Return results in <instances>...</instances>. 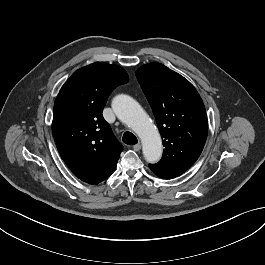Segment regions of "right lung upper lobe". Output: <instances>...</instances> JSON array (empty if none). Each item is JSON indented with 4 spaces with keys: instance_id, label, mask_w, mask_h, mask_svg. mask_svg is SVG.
Wrapping results in <instances>:
<instances>
[{
    "instance_id": "right-lung-upper-lobe-1",
    "label": "right lung upper lobe",
    "mask_w": 265,
    "mask_h": 265,
    "mask_svg": "<svg viewBox=\"0 0 265 265\" xmlns=\"http://www.w3.org/2000/svg\"><path fill=\"white\" fill-rule=\"evenodd\" d=\"M128 81L123 68L96 62L74 72L55 100V143L63 161L82 181L101 178L117 164L123 146L102 111L110 93Z\"/></svg>"
}]
</instances>
